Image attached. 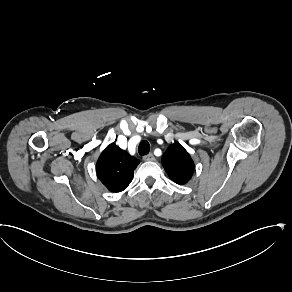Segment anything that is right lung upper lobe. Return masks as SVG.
I'll use <instances>...</instances> for the list:
<instances>
[{"instance_id":"obj_1","label":"right lung upper lobe","mask_w":292,"mask_h":292,"mask_svg":"<svg viewBox=\"0 0 292 292\" xmlns=\"http://www.w3.org/2000/svg\"><path fill=\"white\" fill-rule=\"evenodd\" d=\"M140 161L115 144L108 145L101 153L96 171L98 178L111 192H121L133 178V171Z\"/></svg>"}]
</instances>
